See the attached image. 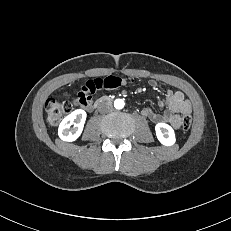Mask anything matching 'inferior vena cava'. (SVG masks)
<instances>
[{
	"label": "inferior vena cava",
	"mask_w": 231,
	"mask_h": 231,
	"mask_svg": "<svg viewBox=\"0 0 231 231\" xmlns=\"http://www.w3.org/2000/svg\"><path fill=\"white\" fill-rule=\"evenodd\" d=\"M112 110V104L109 101H102L98 105V111L100 113H106Z\"/></svg>",
	"instance_id": "1"
}]
</instances>
